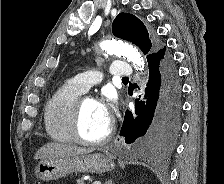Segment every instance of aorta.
Masks as SVG:
<instances>
[{"label":"aorta","instance_id":"762f6f07","mask_svg":"<svg viewBox=\"0 0 224 184\" xmlns=\"http://www.w3.org/2000/svg\"><path fill=\"white\" fill-rule=\"evenodd\" d=\"M100 47L107 52L123 55L129 62L132 63V65L135 66L137 70H144V60L138 50L132 45L119 40L111 39L101 42Z\"/></svg>","mask_w":224,"mask_h":184}]
</instances>
